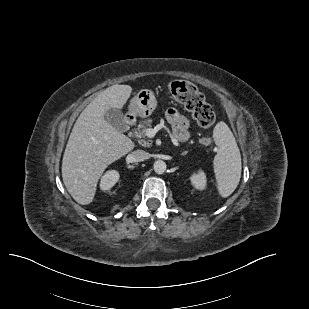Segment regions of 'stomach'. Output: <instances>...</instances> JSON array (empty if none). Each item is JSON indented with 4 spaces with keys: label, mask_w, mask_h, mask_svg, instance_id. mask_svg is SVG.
Returning <instances> with one entry per match:
<instances>
[{
    "label": "stomach",
    "mask_w": 309,
    "mask_h": 309,
    "mask_svg": "<svg viewBox=\"0 0 309 309\" xmlns=\"http://www.w3.org/2000/svg\"><path fill=\"white\" fill-rule=\"evenodd\" d=\"M157 100L154 93L149 89L140 90L130 102V108L134 115L142 118L149 117L156 109Z\"/></svg>",
    "instance_id": "0dacf381"
}]
</instances>
